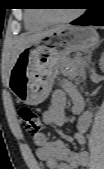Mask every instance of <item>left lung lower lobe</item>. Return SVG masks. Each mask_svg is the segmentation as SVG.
I'll return each mask as SVG.
<instances>
[{
	"label": "left lung lower lobe",
	"mask_w": 104,
	"mask_h": 169,
	"mask_svg": "<svg viewBox=\"0 0 104 169\" xmlns=\"http://www.w3.org/2000/svg\"><path fill=\"white\" fill-rule=\"evenodd\" d=\"M89 10L79 19L71 22L72 25L104 26V8L101 3H91Z\"/></svg>",
	"instance_id": "1"
}]
</instances>
